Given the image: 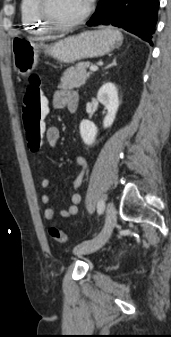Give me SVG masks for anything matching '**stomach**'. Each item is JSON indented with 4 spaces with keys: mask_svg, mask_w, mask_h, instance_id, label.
Segmentation results:
<instances>
[{
    "mask_svg": "<svg viewBox=\"0 0 171 337\" xmlns=\"http://www.w3.org/2000/svg\"><path fill=\"white\" fill-rule=\"evenodd\" d=\"M122 40L121 33L109 27L86 31L51 45L17 37L12 40L13 65L18 74L26 76L36 68L42 50L60 62L74 63L81 59L103 56L118 48Z\"/></svg>",
    "mask_w": 171,
    "mask_h": 337,
    "instance_id": "0dacf381",
    "label": "stomach"
}]
</instances>
